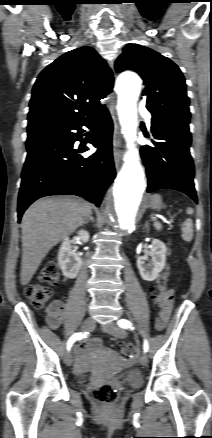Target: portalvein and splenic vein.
I'll return each mask as SVG.
<instances>
[{
    "mask_svg": "<svg viewBox=\"0 0 212 438\" xmlns=\"http://www.w3.org/2000/svg\"><path fill=\"white\" fill-rule=\"evenodd\" d=\"M164 222H165L166 224H168V225H171L172 222H173V220H172V219H170V220H165Z\"/></svg>",
    "mask_w": 212,
    "mask_h": 438,
    "instance_id": "portal-vein-and-splenic-vein-1",
    "label": "portal vein and splenic vein"
}]
</instances>
